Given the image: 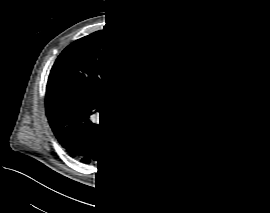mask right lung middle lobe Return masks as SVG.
<instances>
[{"mask_svg":"<svg viewBox=\"0 0 270 213\" xmlns=\"http://www.w3.org/2000/svg\"><path fill=\"white\" fill-rule=\"evenodd\" d=\"M125 37L126 33L121 30L104 29L67 46L50 71L47 93L65 91L111 95L116 84L110 75L109 61Z\"/></svg>","mask_w":270,"mask_h":213,"instance_id":"right-lung-middle-lobe-1","label":"right lung middle lobe"}]
</instances>
